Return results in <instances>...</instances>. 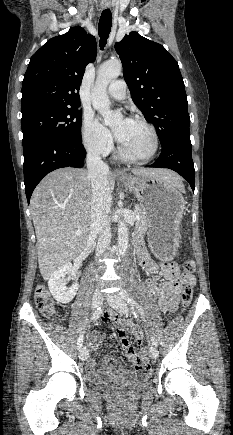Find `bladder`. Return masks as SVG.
Wrapping results in <instances>:
<instances>
[{"label": "bladder", "mask_w": 233, "mask_h": 435, "mask_svg": "<svg viewBox=\"0 0 233 435\" xmlns=\"http://www.w3.org/2000/svg\"><path fill=\"white\" fill-rule=\"evenodd\" d=\"M151 378L150 374L144 375L141 379L136 380L135 382H111L97 386L98 390L101 391H110L114 390L120 386H125L127 388H146L148 386L147 381Z\"/></svg>", "instance_id": "bladder-1"}]
</instances>
